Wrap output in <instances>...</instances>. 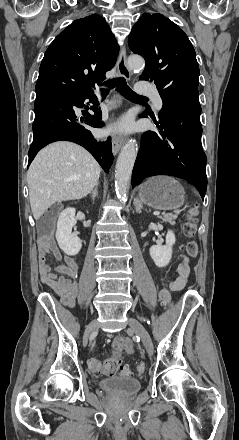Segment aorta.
<instances>
[{
  "label": "aorta",
  "instance_id": "762f6f07",
  "mask_svg": "<svg viewBox=\"0 0 239 440\" xmlns=\"http://www.w3.org/2000/svg\"><path fill=\"white\" fill-rule=\"evenodd\" d=\"M128 66L131 70H143L145 62L140 56H130ZM135 140H129L118 156L115 170L116 192L121 200H126L130 188L131 174L137 156Z\"/></svg>",
  "mask_w": 239,
  "mask_h": 440
}]
</instances>
